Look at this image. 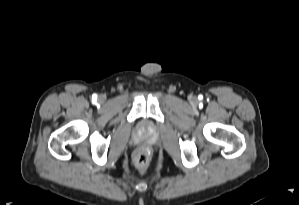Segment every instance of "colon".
I'll list each match as a JSON object with an SVG mask.
<instances>
[{"instance_id":"colon-1","label":"colon","mask_w":299,"mask_h":205,"mask_svg":"<svg viewBox=\"0 0 299 205\" xmlns=\"http://www.w3.org/2000/svg\"><path fill=\"white\" fill-rule=\"evenodd\" d=\"M150 162V154L145 149L137 150L133 155V163L140 173H145Z\"/></svg>"}]
</instances>
